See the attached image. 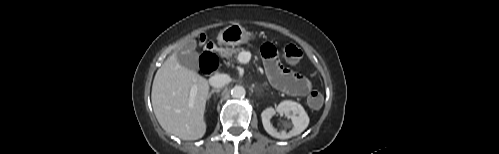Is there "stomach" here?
<instances>
[{
  "instance_id": "1",
  "label": "stomach",
  "mask_w": 499,
  "mask_h": 154,
  "mask_svg": "<svg viewBox=\"0 0 499 154\" xmlns=\"http://www.w3.org/2000/svg\"><path fill=\"white\" fill-rule=\"evenodd\" d=\"M252 39H254L253 34L238 24L227 26L217 36L218 44L224 46H235Z\"/></svg>"
}]
</instances>
